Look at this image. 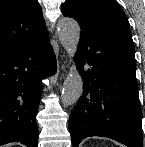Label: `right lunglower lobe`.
<instances>
[{"mask_svg":"<svg viewBox=\"0 0 145 147\" xmlns=\"http://www.w3.org/2000/svg\"><path fill=\"white\" fill-rule=\"evenodd\" d=\"M55 72L48 35L0 57V145L20 142L37 147L41 80Z\"/></svg>","mask_w":145,"mask_h":147,"instance_id":"98d812e1","label":"right lung lower lobe"}]
</instances>
